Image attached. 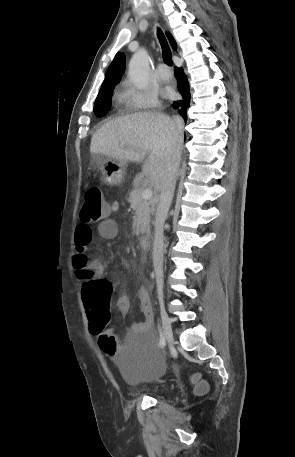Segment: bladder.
Masks as SVG:
<instances>
[{"label": "bladder", "mask_w": 295, "mask_h": 457, "mask_svg": "<svg viewBox=\"0 0 295 457\" xmlns=\"http://www.w3.org/2000/svg\"><path fill=\"white\" fill-rule=\"evenodd\" d=\"M157 346V338H132L133 349L119 367V372L128 385L139 386L153 382V378H168L169 367L167 364H159V357L154 350Z\"/></svg>", "instance_id": "31cf9c89"}]
</instances>
